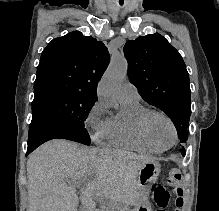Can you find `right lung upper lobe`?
<instances>
[{
    "instance_id": "obj_1",
    "label": "right lung upper lobe",
    "mask_w": 219,
    "mask_h": 211,
    "mask_svg": "<svg viewBox=\"0 0 219 211\" xmlns=\"http://www.w3.org/2000/svg\"><path fill=\"white\" fill-rule=\"evenodd\" d=\"M109 64L105 45L79 31L53 39L43 50L34 93L63 89L96 98L98 81Z\"/></svg>"
}]
</instances>
